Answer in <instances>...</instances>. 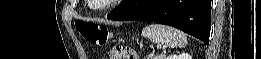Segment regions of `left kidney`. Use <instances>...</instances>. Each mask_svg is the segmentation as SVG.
I'll return each mask as SVG.
<instances>
[{"instance_id": "left-kidney-1", "label": "left kidney", "mask_w": 261, "mask_h": 59, "mask_svg": "<svg viewBox=\"0 0 261 59\" xmlns=\"http://www.w3.org/2000/svg\"><path fill=\"white\" fill-rule=\"evenodd\" d=\"M165 59H192V56H190L187 53H182L180 55L173 54V55L167 56Z\"/></svg>"}]
</instances>
